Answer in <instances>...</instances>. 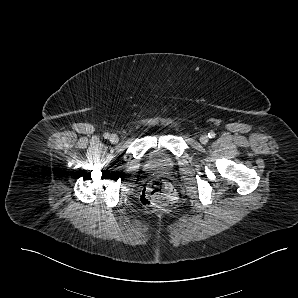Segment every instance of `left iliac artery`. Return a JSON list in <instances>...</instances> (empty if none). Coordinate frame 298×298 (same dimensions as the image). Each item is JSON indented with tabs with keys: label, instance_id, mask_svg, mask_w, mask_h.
Wrapping results in <instances>:
<instances>
[{
	"label": "left iliac artery",
	"instance_id": "1",
	"mask_svg": "<svg viewBox=\"0 0 298 298\" xmlns=\"http://www.w3.org/2000/svg\"><path fill=\"white\" fill-rule=\"evenodd\" d=\"M208 137L209 138H214L215 137V133L213 131L208 133Z\"/></svg>",
	"mask_w": 298,
	"mask_h": 298
}]
</instances>
